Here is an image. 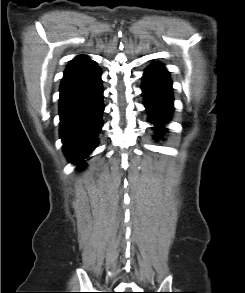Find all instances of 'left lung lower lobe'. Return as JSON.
<instances>
[{
    "label": "left lung lower lobe",
    "mask_w": 245,
    "mask_h": 293,
    "mask_svg": "<svg viewBox=\"0 0 245 293\" xmlns=\"http://www.w3.org/2000/svg\"><path fill=\"white\" fill-rule=\"evenodd\" d=\"M142 91L149 122L155 129L164 131L162 124L168 122L173 112L172 81L161 64L150 65L143 75Z\"/></svg>",
    "instance_id": "0a47b994"
}]
</instances>
